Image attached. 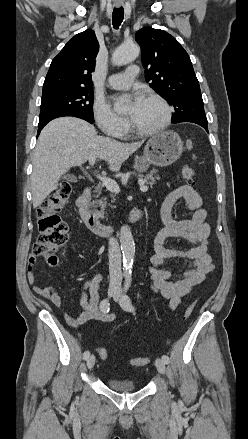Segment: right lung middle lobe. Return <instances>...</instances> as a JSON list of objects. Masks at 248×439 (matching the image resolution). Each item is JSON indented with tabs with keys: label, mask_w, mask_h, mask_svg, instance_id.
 <instances>
[{
	"label": "right lung middle lobe",
	"mask_w": 248,
	"mask_h": 439,
	"mask_svg": "<svg viewBox=\"0 0 248 439\" xmlns=\"http://www.w3.org/2000/svg\"><path fill=\"white\" fill-rule=\"evenodd\" d=\"M92 88H76L42 95L39 121L60 114H81L94 119Z\"/></svg>",
	"instance_id": "obj_1"
}]
</instances>
